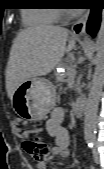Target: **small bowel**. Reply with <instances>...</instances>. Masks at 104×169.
<instances>
[{"instance_id": "c3829d8e", "label": "small bowel", "mask_w": 104, "mask_h": 169, "mask_svg": "<svg viewBox=\"0 0 104 169\" xmlns=\"http://www.w3.org/2000/svg\"><path fill=\"white\" fill-rule=\"evenodd\" d=\"M65 114L63 109L56 108L52 111L49 120L46 123V128L50 136L54 139V146L51 150L50 162H53L54 158H66L69 156V134L64 127ZM47 162H39L37 164L38 169H46Z\"/></svg>"}]
</instances>
